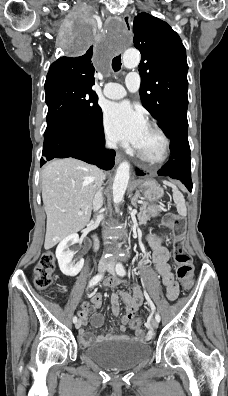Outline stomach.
<instances>
[{"instance_id":"obj_1","label":"stomach","mask_w":228,"mask_h":396,"mask_svg":"<svg viewBox=\"0 0 228 396\" xmlns=\"http://www.w3.org/2000/svg\"><path fill=\"white\" fill-rule=\"evenodd\" d=\"M139 188L143 193V197L146 200L147 206L151 208V210L146 208L145 212L142 214L154 216L157 212L156 205L154 203L163 196V189L155 181L144 182L140 184Z\"/></svg>"}]
</instances>
